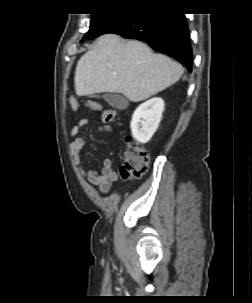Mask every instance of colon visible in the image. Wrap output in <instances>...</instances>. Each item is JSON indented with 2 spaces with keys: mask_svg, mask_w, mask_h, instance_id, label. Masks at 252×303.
Instances as JSON below:
<instances>
[{
  "mask_svg": "<svg viewBox=\"0 0 252 303\" xmlns=\"http://www.w3.org/2000/svg\"><path fill=\"white\" fill-rule=\"evenodd\" d=\"M69 104L72 110L79 109V104L75 97L69 98ZM89 107L97 110L101 114V119L104 123L112 122L115 118L116 111L110 108H102L101 105L92 101ZM148 153L146 149L139 143L128 139L126 142V151L124 153V161L121 165L120 172L124 178H138L144 174L148 165Z\"/></svg>",
  "mask_w": 252,
  "mask_h": 303,
  "instance_id": "colon-1",
  "label": "colon"
}]
</instances>
